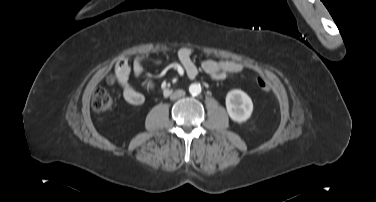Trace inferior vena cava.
<instances>
[{
	"mask_svg": "<svg viewBox=\"0 0 376 202\" xmlns=\"http://www.w3.org/2000/svg\"><path fill=\"white\" fill-rule=\"evenodd\" d=\"M184 95H185V91H183V90H178V91H176L175 93H173V94L171 95V99H176V98L182 97V96H184Z\"/></svg>",
	"mask_w": 376,
	"mask_h": 202,
	"instance_id": "inferior-vena-cava-1",
	"label": "inferior vena cava"
}]
</instances>
